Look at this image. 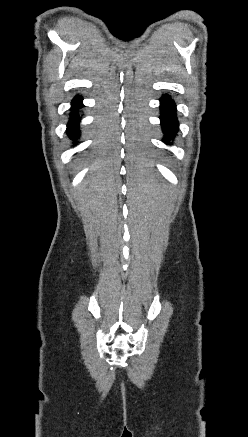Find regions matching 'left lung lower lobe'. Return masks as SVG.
<instances>
[{"mask_svg": "<svg viewBox=\"0 0 248 437\" xmlns=\"http://www.w3.org/2000/svg\"><path fill=\"white\" fill-rule=\"evenodd\" d=\"M160 102L161 125L165 133V143L169 144V140H171L175 136L178 130V121L175 113L176 107L174 101L166 95L160 99Z\"/></svg>", "mask_w": 248, "mask_h": 437, "instance_id": "obj_1", "label": "left lung lower lobe"}]
</instances>
